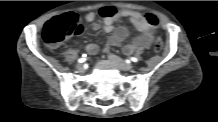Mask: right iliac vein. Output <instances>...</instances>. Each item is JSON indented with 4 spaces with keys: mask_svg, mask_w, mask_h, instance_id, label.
I'll return each mask as SVG.
<instances>
[{
    "mask_svg": "<svg viewBox=\"0 0 218 122\" xmlns=\"http://www.w3.org/2000/svg\"><path fill=\"white\" fill-rule=\"evenodd\" d=\"M76 69L79 70V71H82L84 69V66L79 63V64L76 65Z\"/></svg>",
    "mask_w": 218,
    "mask_h": 122,
    "instance_id": "obj_1",
    "label": "right iliac vein"
}]
</instances>
